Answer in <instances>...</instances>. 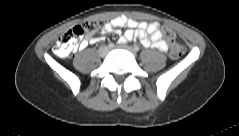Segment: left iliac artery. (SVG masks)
Returning a JSON list of instances; mask_svg holds the SVG:
<instances>
[{"instance_id": "left-iliac-artery-1", "label": "left iliac artery", "mask_w": 239, "mask_h": 136, "mask_svg": "<svg viewBox=\"0 0 239 136\" xmlns=\"http://www.w3.org/2000/svg\"><path fill=\"white\" fill-rule=\"evenodd\" d=\"M133 49H134V51H136V52L139 51V47H138V46H134Z\"/></svg>"}]
</instances>
